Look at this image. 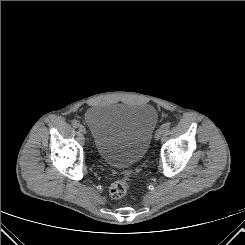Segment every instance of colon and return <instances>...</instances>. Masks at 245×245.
<instances>
[{
    "label": "colon",
    "mask_w": 245,
    "mask_h": 245,
    "mask_svg": "<svg viewBox=\"0 0 245 245\" xmlns=\"http://www.w3.org/2000/svg\"><path fill=\"white\" fill-rule=\"evenodd\" d=\"M133 173L131 170H126L123 174L121 180L114 182L110 189L109 194L113 199H121L127 195L130 190L131 182H132Z\"/></svg>",
    "instance_id": "colon-1"
}]
</instances>
